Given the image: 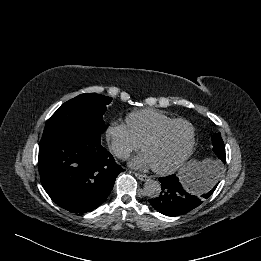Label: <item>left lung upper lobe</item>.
<instances>
[{
    "label": "left lung upper lobe",
    "instance_id": "left-lung-upper-lobe-1",
    "mask_svg": "<svg viewBox=\"0 0 261 261\" xmlns=\"http://www.w3.org/2000/svg\"><path fill=\"white\" fill-rule=\"evenodd\" d=\"M213 151L217 156L215 162L225 163V146L220 133L212 136Z\"/></svg>",
    "mask_w": 261,
    "mask_h": 261
}]
</instances>
